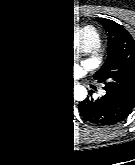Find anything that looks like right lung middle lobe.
I'll return each instance as SVG.
<instances>
[{
  "label": "right lung middle lobe",
  "mask_w": 135,
  "mask_h": 165,
  "mask_svg": "<svg viewBox=\"0 0 135 165\" xmlns=\"http://www.w3.org/2000/svg\"><path fill=\"white\" fill-rule=\"evenodd\" d=\"M34 66V63H32V65H21L14 57L10 55L1 56L0 80H25L26 78L31 77L36 72Z\"/></svg>",
  "instance_id": "obj_1"
}]
</instances>
